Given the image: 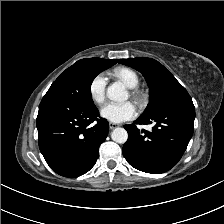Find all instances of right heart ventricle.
Returning a JSON list of instances; mask_svg holds the SVG:
<instances>
[{"label":"right heart ventricle","mask_w":224,"mask_h":224,"mask_svg":"<svg viewBox=\"0 0 224 224\" xmlns=\"http://www.w3.org/2000/svg\"><path fill=\"white\" fill-rule=\"evenodd\" d=\"M112 75L122 81L128 88H136L140 82L138 74L127 67L116 68Z\"/></svg>","instance_id":"1"}]
</instances>
